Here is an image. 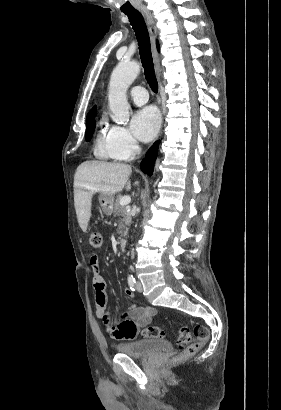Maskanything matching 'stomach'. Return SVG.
<instances>
[{
    "mask_svg": "<svg viewBox=\"0 0 281 410\" xmlns=\"http://www.w3.org/2000/svg\"><path fill=\"white\" fill-rule=\"evenodd\" d=\"M100 206L106 215H111L114 209V197L109 194L101 193L99 196Z\"/></svg>",
    "mask_w": 281,
    "mask_h": 410,
    "instance_id": "0dacf381",
    "label": "stomach"
}]
</instances>
